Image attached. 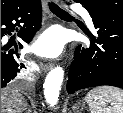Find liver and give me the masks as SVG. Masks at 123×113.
Wrapping results in <instances>:
<instances>
[{"label": "liver", "instance_id": "liver-1", "mask_svg": "<svg viewBox=\"0 0 123 113\" xmlns=\"http://www.w3.org/2000/svg\"><path fill=\"white\" fill-rule=\"evenodd\" d=\"M27 102L15 88L1 89V113H23Z\"/></svg>", "mask_w": 123, "mask_h": 113}]
</instances>
